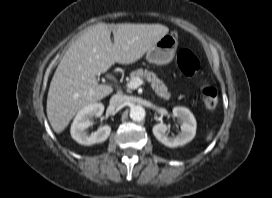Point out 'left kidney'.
I'll return each mask as SVG.
<instances>
[{
    "mask_svg": "<svg viewBox=\"0 0 272 198\" xmlns=\"http://www.w3.org/2000/svg\"><path fill=\"white\" fill-rule=\"evenodd\" d=\"M173 115L182 121L181 132L176 137H168L167 126L159 123L153 126V134L156 139L167 147L183 146L190 142L196 134V120L189 109L185 107L173 108Z\"/></svg>",
    "mask_w": 272,
    "mask_h": 198,
    "instance_id": "5707ae66",
    "label": "left kidney"
}]
</instances>
